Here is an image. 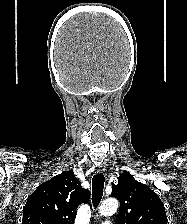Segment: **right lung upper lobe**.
Masks as SVG:
<instances>
[{
	"label": "right lung upper lobe",
	"instance_id": "right-lung-upper-lobe-1",
	"mask_svg": "<svg viewBox=\"0 0 187 224\" xmlns=\"http://www.w3.org/2000/svg\"><path fill=\"white\" fill-rule=\"evenodd\" d=\"M74 172L66 171L42 183L28 197L22 224H73L77 207L89 201Z\"/></svg>",
	"mask_w": 187,
	"mask_h": 224
}]
</instances>
